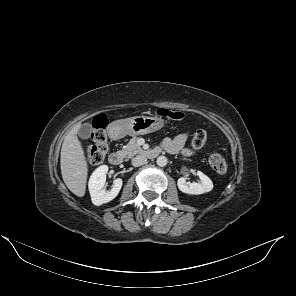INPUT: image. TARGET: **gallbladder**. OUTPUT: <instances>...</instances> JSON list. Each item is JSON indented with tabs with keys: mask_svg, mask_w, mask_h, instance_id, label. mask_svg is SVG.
I'll use <instances>...</instances> for the list:
<instances>
[{
	"mask_svg": "<svg viewBox=\"0 0 296 296\" xmlns=\"http://www.w3.org/2000/svg\"><path fill=\"white\" fill-rule=\"evenodd\" d=\"M92 131V126L89 123H85L81 126V128L78 131V135L82 138V139H87L90 137Z\"/></svg>",
	"mask_w": 296,
	"mask_h": 296,
	"instance_id": "obj_1",
	"label": "gallbladder"
}]
</instances>
